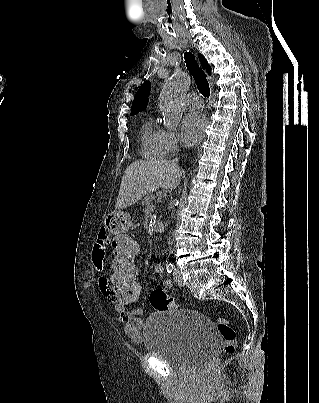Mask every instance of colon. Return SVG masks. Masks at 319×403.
<instances>
[{"instance_id":"obj_1","label":"colon","mask_w":319,"mask_h":403,"mask_svg":"<svg viewBox=\"0 0 319 403\" xmlns=\"http://www.w3.org/2000/svg\"><path fill=\"white\" fill-rule=\"evenodd\" d=\"M138 234H113L114 252L111 253L110 272L113 273V300L116 304H127V313H142L140 296L141 283L134 278V268H139L140 240ZM151 306L157 311H168L176 308L175 300L164 289H154L149 295ZM218 331L224 341L223 352L232 354L236 348V334L234 329L225 322L218 323ZM220 365L218 358L212 359L203 373L204 381H208L211 374Z\"/></svg>"}]
</instances>
